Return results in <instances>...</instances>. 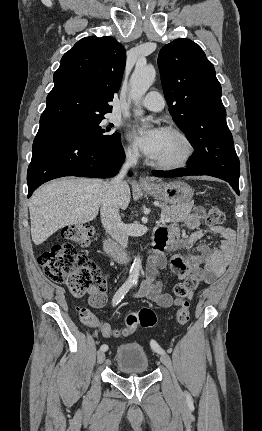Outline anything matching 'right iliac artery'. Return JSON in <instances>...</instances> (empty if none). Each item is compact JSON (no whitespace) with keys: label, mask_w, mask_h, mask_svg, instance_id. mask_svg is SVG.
Listing matches in <instances>:
<instances>
[{"label":"right iliac artery","mask_w":262,"mask_h":431,"mask_svg":"<svg viewBox=\"0 0 262 431\" xmlns=\"http://www.w3.org/2000/svg\"><path fill=\"white\" fill-rule=\"evenodd\" d=\"M132 287V283L130 281H126L120 288L119 290L116 292V294L114 295V298L112 300V305L116 306L121 299H123L124 295L129 291V289ZM100 350L102 351H107L108 350V346L106 344H103L100 347Z\"/></svg>","instance_id":"right-iliac-artery-1"}]
</instances>
